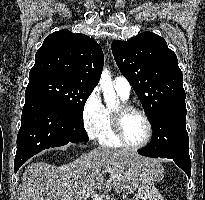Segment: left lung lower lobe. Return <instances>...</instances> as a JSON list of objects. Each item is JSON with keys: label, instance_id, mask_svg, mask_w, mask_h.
Wrapping results in <instances>:
<instances>
[{"label": "left lung lower lobe", "instance_id": "left-lung-lower-lobe-1", "mask_svg": "<svg viewBox=\"0 0 205 200\" xmlns=\"http://www.w3.org/2000/svg\"><path fill=\"white\" fill-rule=\"evenodd\" d=\"M185 122V101L168 105L152 124L153 136L150 144L138 153L174 161L190 178L191 160Z\"/></svg>", "mask_w": 205, "mask_h": 200}]
</instances>
